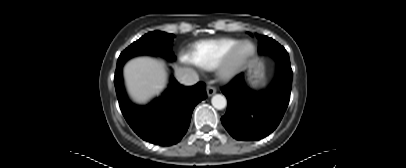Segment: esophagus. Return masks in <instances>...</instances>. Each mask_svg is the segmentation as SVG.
Masks as SVG:
<instances>
[{"mask_svg": "<svg viewBox=\"0 0 406 168\" xmlns=\"http://www.w3.org/2000/svg\"><path fill=\"white\" fill-rule=\"evenodd\" d=\"M206 91L207 95L210 97L216 93V88L214 86L208 85Z\"/></svg>", "mask_w": 406, "mask_h": 168, "instance_id": "1", "label": "esophagus"}]
</instances>
